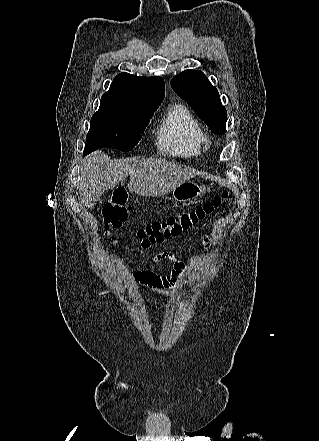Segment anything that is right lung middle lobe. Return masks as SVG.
<instances>
[{"mask_svg": "<svg viewBox=\"0 0 319 441\" xmlns=\"http://www.w3.org/2000/svg\"><path fill=\"white\" fill-rule=\"evenodd\" d=\"M157 108H99L91 118L83 154L103 147L132 150Z\"/></svg>", "mask_w": 319, "mask_h": 441, "instance_id": "obj_1", "label": "right lung middle lobe"}]
</instances>
